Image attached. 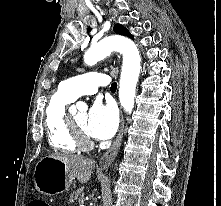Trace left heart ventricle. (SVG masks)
Listing matches in <instances>:
<instances>
[{
	"mask_svg": "<svg viewBox=\"0 0 221 206\" xmlns=\"http://www.w3.org/2000/svg\"><path fill=\"white\" fill-rule=\"evenodd\" d=\"M76 123L79 127L86 132V121H87V114L86 112H78L73 116Z\"/></svg>",
	"mask_w": 221,
	"mask_h": 206,
	"instance_id": "obj_1",
	"label": "left heart ventricle"
}]
</instances>
